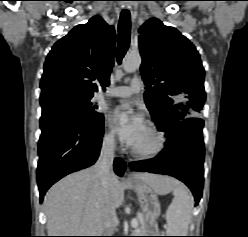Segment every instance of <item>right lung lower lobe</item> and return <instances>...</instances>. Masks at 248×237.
Listing matches in <instances>:
<instances>
[{
    "instance_id": "obj_1",
    "label": "right lung lower lobe",
    "mask_w": 248,
    "mask_h": 237,
    "mask_svg": "<svg viewBox=\"0 0 248 237\" xmlns=\"http://www.w3.org/2000/svg\"><path fill=\"white\" fill-rule=\"evenodd\" d=\"M37 183L40 201L51 185L69 173L93 165L98 159L104 133V117L83 121L70 116L45 115L40 118ZM123 160H114V170L122 176Z\"/></svg>"
}]
</instances>
